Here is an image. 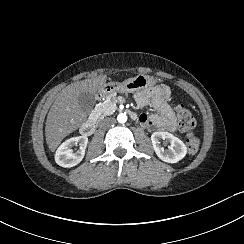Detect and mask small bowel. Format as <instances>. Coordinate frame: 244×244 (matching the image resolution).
Segmentation results:
<instances>
[{"instance_id": "1", "label": "small bowel", "mask_w": 244, "mask_h": 244, "mask_svg": "<svg viewBox=\"0 0 244 244\" xmlns=\"http://www.w3.org/2000/svg\"><path fill=\"white\" fill-rule=\"evenodd\" d=\"M138 108H150L151 113L141 111L130 115L145 127L170 130L174 125V110L171 104L170 89L161 85L154 88H141L132 92Z\"/></svg>"}]
</instances>
